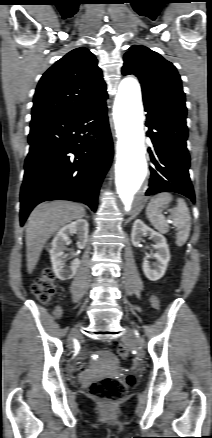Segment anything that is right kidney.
I'll return each instance as SVG.
<instances>
[{"label":"right kidney","mask_w":212,"mask_h":438,"mask_svg":"<svg viewBox=\"0 0 212 438\" xmlns=\"http://www.w3.org/2000/svg\"><path fill=\"white\" fill-rule=\"evenodd\" d=\"M89 224L85 219H78L59 230L51 242L49 253L53 271L60 280H69L75 275L80 260L74 259L69 265L66 264L67 256L64 254L66 245L70 242L69 235L77 234L79 249L85 248L88 241Z\"/></svg>","instance_id":"obj_1"}]
</instances>
